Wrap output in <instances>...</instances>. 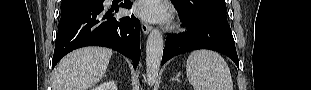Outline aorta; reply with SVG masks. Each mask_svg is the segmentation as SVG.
<instances>
[{
	"label": "aorta",
	"mask_w": 311,
	"mask_h": 90,
	"mask_svg": "<svg viewBox=\"0 0 311 90\" xmlns=\"http://www.w3.org/2000/svg\"><path fill=\"white\" fill-rule=\"evenodd\" d=\"M163 36L158 29H153L146 43V77L149 86H155L163 54Z\"/></svg>",
	"instance_id": "762f6f07"
}]
</instances>
